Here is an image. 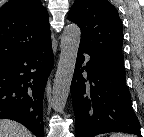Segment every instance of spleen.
Here are the masks:
<instances>
[{"instance_id": "1", "label": "spleen", "mask_w": 144, "mask_h": 137, "mask_svg": "<svg viewBox=\"0 0 144 137\" xmlns=\"http://www.w3.org/2000/svg\"><path fill=\"white\" fill-rule=\"evenodd\" d=\"M110 137H132V136L123 133H112Z\"/></svg>"}]
</instances>
